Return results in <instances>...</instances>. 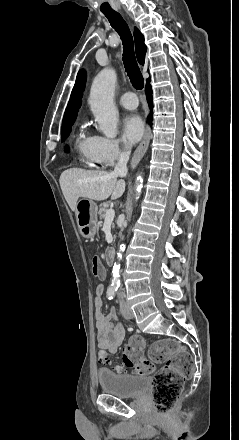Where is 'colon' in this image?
<instances>
[{
    "instance_id": "1",
    "label": "colon",
    "mask_w": 239,
    "mask_h": 440,
    "mask_svg": "<svg viewBox=\"0 0 239 440\" xmlns=\"http://www.w3.org/2000/svg\"><path fill=\"white\" fill-rule=\"evenodd\" d=\"M92 273L99 279L105 276L98 257L92 259ZM144 347L141 336H132L123 350L124 365H116L115 369L117 372L129 369L137 374L154 373L151 390L154 408L157 413L164 415L175 406L184 382L191 376L193 359L178 342L170 339H162L153 344L150 360L144 357ZM103 357L107 359L105 354ZM155 363H162L163 366L155 371Z\"/></svg>"
}]
</instances>
